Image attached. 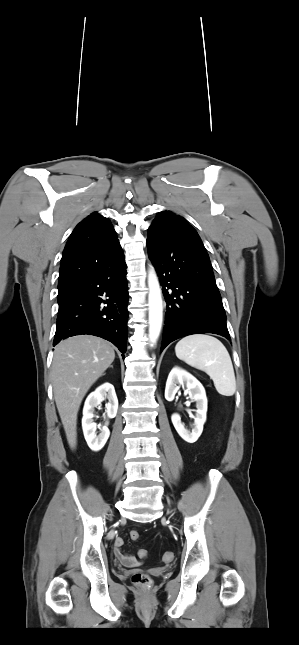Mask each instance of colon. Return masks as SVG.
Masks as SVG:
<instances>
[{"mask_svg":"<svg viewBox=\"0 0 299 645\" xmlns=\"http://www.w3.org/2000/svg\"><path fill=\"white\" fill-rule=\"evenodd\" d=\"M130 537H131V539H133V540H137V539L139 538V533H138L137 531H132V532L130 533ZM138 556H139V558H141V559L146 558V557H147V551H146L145 549H140V550L138 551ZM173 558H174L173 553H172V552H169V551H168V552H165V553L162 555V560H163L164 562H171V561L173 560ZM132 580H133L134 584H135V585H137V586H139V587H145V586H147V585L149 584V581H150V579H149L148 575L143 574V573H137V574H135V575L133 576Z\"/></svg>","mask_w":299,"mask_h":645,"instance_id":"colon-1","label":"colon"}]
</instances>
